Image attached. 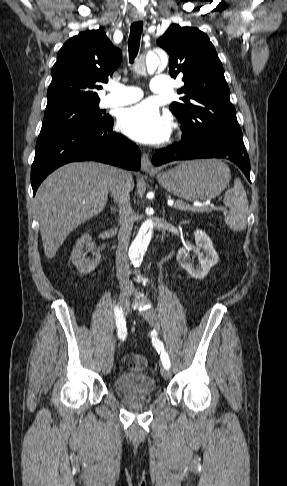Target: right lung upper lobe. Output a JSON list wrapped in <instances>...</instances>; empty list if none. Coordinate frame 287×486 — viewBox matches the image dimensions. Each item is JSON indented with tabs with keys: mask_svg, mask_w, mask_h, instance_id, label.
Segmentation results:
<instances>
[{
	"mask_svg": "<svg viewBox=\"0 0 287 486\" xmlns=\"http://www.w3.org/2000/svg\"><path fill=\"white\" fill-rule=\"evenodd\" d=\"M120 61L121 51L102 29L72 37L59 50L52 68L46 107L99 99L97 91L102 86L98 83H107Z\"/></svg>",
	"mask_w": 287,
	"mask_h": 486,
	"instance_id": "1",
	"label": "right lung upper lobe"
}]
</instances>
